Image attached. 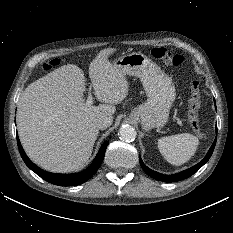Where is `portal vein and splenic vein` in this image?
<instances>
[{
	"instance_id": "18ae733b",
	"label": "portal vein and splenic vein",
	"mask_w": 233,
	"mask_h": 233,
	"mask_svg": "<svg viewBox=\"0 0 233 233\" xmlns=\"http://www.w3.org/2000/svg\"><path fill=\"white\" fill-rule=\"evenodd\" d=\"M85 104H86L87 106H91V105L93 104V98H92L91 93L88 95V98H87Z\"/></svg>"
}]
</instances>
